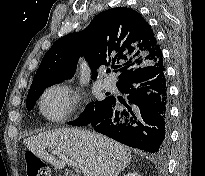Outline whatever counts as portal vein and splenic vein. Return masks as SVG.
Segmentation results:
<instances>
[{
	"instance_id": "portal-vein-and-splenic-vein-1",
	"label": "portal vein and splenic vein",
	"mask_w": 205,
	"mask_h": 176,
	"mask_svg": "<svg viewBox=\"0 0 205 176\" xmlns=\"http://www.w3.org/2000/svg\"><path fill=\"white\" fill-rule=\"evenodd\" d=\"M52 153L58 155L68 165H71V166L76 167L77 169L81 170L84 176H91L90 171L86 167L78 164L77 162L73 161L72 159H68L65 155L61 154L60 152L52 151Z\"/></svg>"
}]
</instances>
